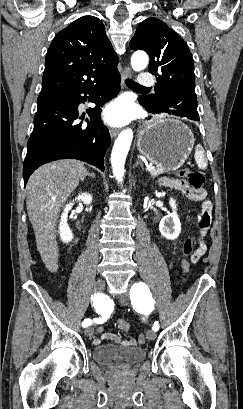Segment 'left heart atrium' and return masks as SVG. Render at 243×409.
Listing matches in <instances>:
<instances>
[{"label": "left heart atrium", "mask_w": 243, "mask_h": 409, "mask_svg": "<svg viewBox=\"0 0 243 409\" xmlns=\"http://www.w3.org/2000/svg\"><path fill=\"white\" fill-rule=\"evenodd\" d=\"M131 114L129 103L126 100L119 99L105 109L104 118L109 124L120 126L130 119Z\"/></svg>", "instance_id": "left-heart-atrium-1"}]
</instances>
